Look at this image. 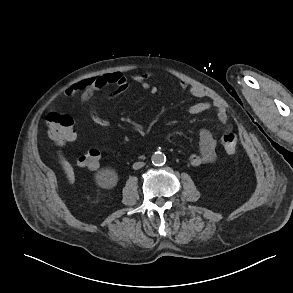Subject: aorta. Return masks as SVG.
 Segmentation results:
<instances>
[{
    "mask_svg": "<svg viewBox=\"0 0 293 293\" xmlns=\"http://www.w3.org/2000/svg\"><path fill=\"white\" fill-rule=\"evenodd\" d=\"M151 161L156 166L163 165L166 162V156L162 152H155L151 157Z\"/></svg>",
    "mask_w": 293,
    "mask_h": 293,
    "instance_id": "762f6f07",
    "label": "aorta"
}]
</instances>
